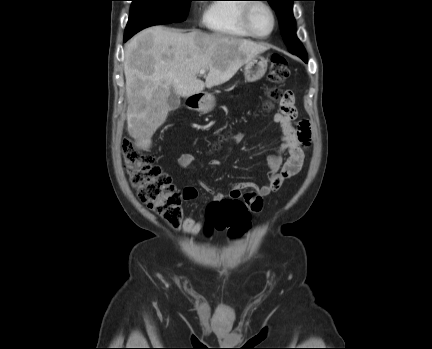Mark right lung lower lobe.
Listing matches in <instances>:
<instances>
[{
  "label": "right lung lower lobe",
  "instance_id": "1",
  "mask_svg": "<svg viewBox=\"0 0 432 349\" xmlns=\"http://www.w3.org/2000/svg\"><path fill=\"white\" fill-rule=\"evenodd\" d=\"M129 38H130L129 36H124V41H126Z\"/></svg>",
  "mask_w": 432,
  "mask_h": 349
}]
</instances>
